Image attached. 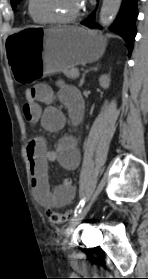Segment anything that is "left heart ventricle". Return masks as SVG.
Returning a JSON list of instances; mask_svg holds the SVG:
<instances>
[{"mask_svg": "<svg viewBox=\"0 0 148 279\" xmlns=\"http://www.w3.org/2000/svg\"><path fill=\"white\" fill-rule=\"evenodd\" d=\"M81 7L82 0H35V11L43 17H70Z\"/></svg>", "mask_w": 148, "mask_h": 279, "instance_id": "left-heart-ventricle-1", "label": "left heart ventricle"}]
</instances>
